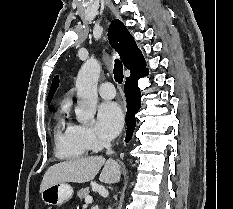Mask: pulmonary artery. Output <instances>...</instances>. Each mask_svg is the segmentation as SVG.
Returning a JSON list of instances; mask_svg holds the SVG:
<instances>
[{
  "mask_svg": "<svg viewBox=\"0 0 233 209\" xmlns=\"http://www.w3.org/2000/svg\"><path fill=\"white\" fill-rule=\"evenodd\" d=\"M99 94L105 99H112L115 94V87L111 82H103L98 87Z\"/></svg>",
  "mask_w": 233,
  "mask_h": 209,
  "instance_id": "pulmonary-artery-1",
  "label": "pulmonary artery"
}]
</instances>
